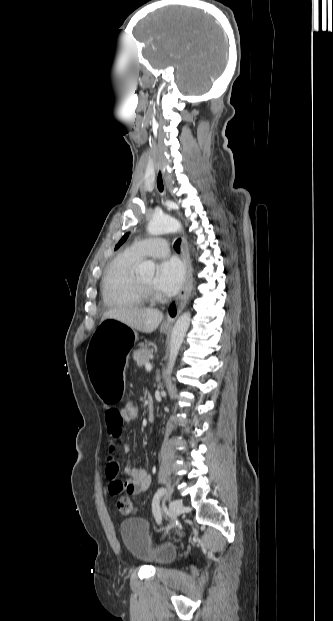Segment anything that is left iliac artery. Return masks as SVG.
<instances>
[{
	"instance_id": "obj_1",
	"label": "left iliac artery",
	"mask_w": 333,
	"mask_h": 621,
	"mask_svg": "<svg viewBox=\"0 0 333 621\" xmlns=\"http://www.w3.org/2000/svg\"><path fill=\"white\" fill-rule=\"evenodd\" d=\"M166 493V489L165 488H159L157 490V492L154 495L153 501H152V512L153 515L155 517V520L157 522V524H160L162 521V515H161V511H160V506H159V502H160V498Z\"/></svg>"
}]
</instances>
